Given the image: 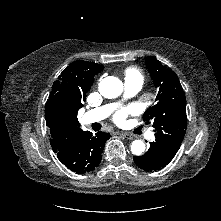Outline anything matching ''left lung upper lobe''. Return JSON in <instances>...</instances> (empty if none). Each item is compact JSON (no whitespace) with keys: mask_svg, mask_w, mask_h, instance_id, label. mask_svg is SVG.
I'll list each match as a JSON object with an SVG mask.
<instances>
[{"mask_svg":"<svg viewBox=\"0 0 221 221\" xmlns=\"http://www.w3.org/2000/svg\"><path fill=\"white\" fill-rule=\"evenodd\" d=\"M147 69L155 87L159 88L156 104L143 115L153 121L155 137L181 144L187 127L186 99L177 75L155 57H146Z\"/></svg>","mask_w":221,"mask_h":221,"instance_id":"1","label":"left lung upper lobe"}]
</instances>
